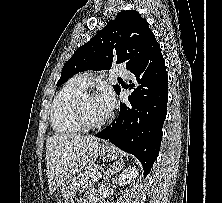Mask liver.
<instances>
[{"instance_id": "6515ba94", "label": "liver", "mask_w": 222, "mask_h": 203, "mask_svg": "<svg viewBox=\"0 0 222 203\" xmlns=\"http://www.w3.org/2000/svg\"><path fill=\"white\" fill-rule=\"evenodd\" d=\"M99 139L94 136L55 134L46 140L47 177L50 194L65 181L90 169Z\"/></svg>"}]
</instances>
